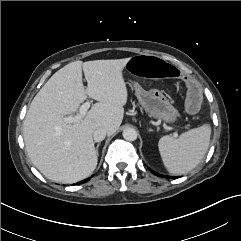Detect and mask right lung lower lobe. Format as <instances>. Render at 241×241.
Returning a JSON list of instances; mask_svg holds the SVG:
<instances>
[{
	"label": "right lung lower lobe",
	"instance_id": "1",
	"mask_svg": "<svg viewBox=\"0 0 241 241\" xmlns=\"http://www.w3.org/2000/svg\"><path fill=\"white\" fill-rule=\"evenodd\" d=\"M87 180H89V179H87ZM87 180H84V181H82L81 183H84V182H86Z\"/></svg>",
	"mask_w": 241,
	"mask_h": 241
}]
</instances>
